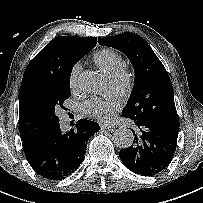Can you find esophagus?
I'll use <instances>...</instances> for the list:
<instances>
[{
	"instance_id": "esophagus-1",
	"label": "esophagus",
	"mask_w": 203,
	"mask_h": 203,
	"mask_svg": "<svg viewBox=\"0 0 203 203\" xmlns=\"http://www.w3.org/2000/svg\"><path fill=\"white\" fill-rule=\"evenodd\" d=\"M101 129H108V130H113L115 129V126L109 123H101L100 124Z\"/></svg>"
}]
</instances>
